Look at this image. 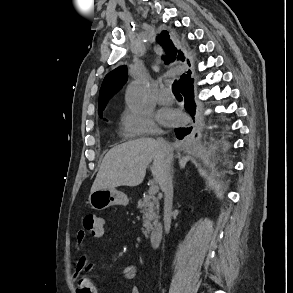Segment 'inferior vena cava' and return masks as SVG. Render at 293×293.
<instances>
[{
	"label": "inferior vena cava",
	"instance_id": "obj_1",
	"mask_svg": "<svg viewBox=\"0 0 293 293\" xmlns=\"http://www.w3.org/2000/svg\"><path fill=\"white\" fill-rule=\"evenodd\" d=\"M158 143L162 150L166 153V170L160 183V187L164 192V229L165 232L168 233L170 230L171 224V211H172V201H173V184H172V159L173 156L171 154L170 146L165 142L164 139L159 138Z\"/></svg>",
	"mask_w": 293,
	"mask_h": 293
}]
</instances>
